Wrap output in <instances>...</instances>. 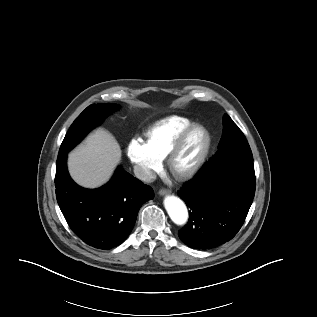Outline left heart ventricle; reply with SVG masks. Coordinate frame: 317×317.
<instances>
[{"mask_svg":"<svg viewBox=\"0 0 317 317\" xmlns=\"http://www.w3.org/2000/svg\"><path fill=\"white\" fill-rule=\"evenodd\" d=\"M203 143V136L200 132L193 133L183 146L176 159L175 167L179 170L189 167L197 158Z\"/></svg>","mask_w":317,"mask_h":317,"instance_id":"1","label":"left heart ventricle"}]
</instances>
